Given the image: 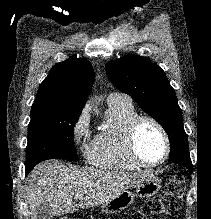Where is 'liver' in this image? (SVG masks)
I'll return each instance as SVG.
<instances>
[{"instance_id": "obj_1", "label": "liver", "mask_w": 211, "mask_h": 219, "mask_svg": "<svg viewBox=\"0 0 211 219\" xmlns=\"http://www.w3.org/2000/svg\"><path fill=\"white\" fill-rule=\"evenodd\" d=\"M150 175L149 172L68 168L57 160L42 162L28 176L27 201L31 219H36L38 208L43 204L50 206L52 216L104 204ZM77 194L85 196L78 205L72 200Z\"/></svg>"}]
</instances>
